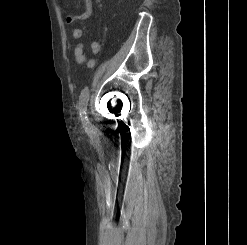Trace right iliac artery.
<instances>
[{
  "instance_id": "obj_1",
  "label": "right iliac artery",
  "mask_w": 247,
  "mask_h": 245,
  "mask_svg": "<svg viewBox=\"0 0 247 245\" xmlns=\"http://www.w3.org/2000/svg\"><path fill=\"white\" fill-rule=\"evenodd\" d=\"M88 100H89V90L88 88H85L82 90L80 94V102H79L80 116H81V120L85 128H88L89 126V120H88L87 112H86Z\"/></svg>"
}]
</instances>
